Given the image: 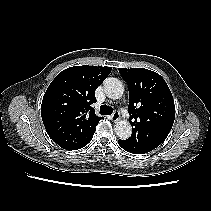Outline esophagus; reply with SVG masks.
<instances>
[{
	"label": "esophagus",
	"instance_id": "obj_1",
	"mask_svg": "<svg viewBox=\"0 0 211 211\" xmlns=\"http://www.w3.org/2000/svg\"><path fill=\"white\" fill-rule=\"evenodd\" d=\"M111 120L116 122L119 118H120V114L118 111H115L112 115H111Z\"/></svg>",
	"mask_w": 211,
	"mask_h": 211
}]
</instances>
